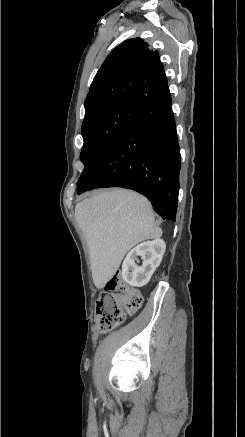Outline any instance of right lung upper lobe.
I'll return each instance as SVG.
<instances>
[{"label":"right lung upper lobe","mask_w":245,"mask_h":437,"mask_svg":"<svg viewBox=\"0 0 245 437\" xmlns=\"http://www.w3.org/2000/svg\"><path fill=\"white\" fill-rule=\"evenodd\" d=\"M169 96L158 51L133 38L117 46L103 62L85 100V114L107 103L127 102L141 107Z\"/></svg>","instance_id":"obj_1"}]
</instances>
